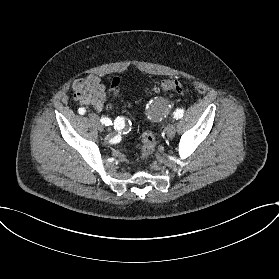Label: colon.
Masks as SVG:
<instances>
[{
    "label": "colon",
    "mask_w": 279,
    "mask_h": 279,
    "mask_svg": "<svg viewBox=\"0 0 279 279\" xmlns=\"http://www.w3.org/2000/svg\"><path fill=\"white\" fill-rule=\"evenodd\" d=\"M156 91L164 94H182L187 91L185 83L179 79H168L163 80L156 84ZM116 96H113L115 99ZM106 110H111L113 108V103L109 102L105 106ZM155 151V136L146 131L143 134V145L141 149V154L143 158L150 157Z\"/></svg>",
    "instance_id": "1"
}]
</instances>
